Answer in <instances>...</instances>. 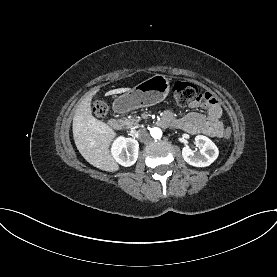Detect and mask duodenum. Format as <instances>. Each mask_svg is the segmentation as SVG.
Here are the masks:
<instances>
[{
  "instance_id": "410a0bca",
  "label": "duodenum",
  "mask_w": 277,
  "mask_h": 277,
  "mask_svg": "<svg viewBox=\"0 0 277 277\" xmlns=\"http://www.w3.org/2000/svg\"><path fill=\"white\" fill-rule=\"evenodd\" d=\"M108 125L113 130H119L123 126V122L120 119L113 118L109 120Z\"/></svg>"
}]
</instances>
